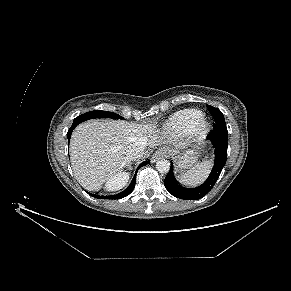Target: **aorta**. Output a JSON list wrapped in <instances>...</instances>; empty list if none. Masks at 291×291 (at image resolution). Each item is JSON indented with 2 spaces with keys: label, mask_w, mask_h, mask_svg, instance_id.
<instances>
[{
  "label": "aorta",
  "mask_w": 291,
  "mask_h": 291,
  "mask_svg": "<svg viewBox=\"0 0 291 291\" xmlns=\"http://www.w3.org/2000/svg\"><path fill=\"white\" fill-rule=\"evenodd\" d=\"M156 169L160 173H168L170 170V163L165 159L158 160L156 162Z\"/></svg>",
  "instance_id": "762f6f07"
}]
</instances>
